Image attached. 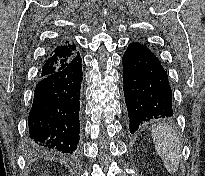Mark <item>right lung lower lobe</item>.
<instances>
[{
	"instance_id": "right-lung-lower-lobe-1",
	"label": "right lung lower lobe",
	"mask_w": 205,
	"mask_h": 176,
	"mask_svg": "<svg viewBox=\"0 0 205 176\" xmlns=\"http://www.w3.org/2000/svg\"><path fill=\"white\" fill-rule=\"evenodd\" d=\"M79 53L40 77L29 113V147L37 152L74 154L79 146L82 83Z\"/></svg>"
}]
</instances>
